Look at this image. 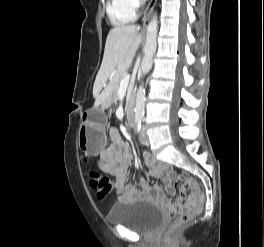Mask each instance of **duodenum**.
<instances>
[{"label": "duodenum", "instance_id": "1", "mask_svg": "<svg viewBox=\"0 0 264 247\" xmlns=\"http://www.w3.org/2000/svg\"><path fill=\"white\" fill-rule=\"evenodd\" d=\"M126 120H127V124L129 126H132L134 123V113H133V109H129L126 115Z\"/></svg>", "mask_w": 264, "mask_h": 247}]
</instances>
